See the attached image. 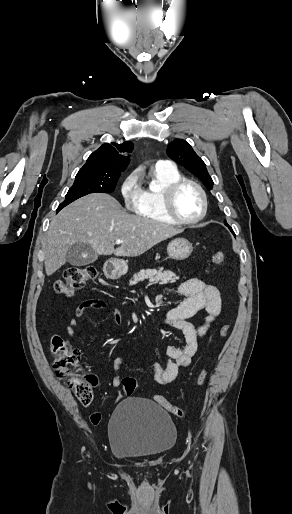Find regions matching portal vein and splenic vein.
<instances>
[{
	"label": "portal vein and splenic vein",
	"mask_w": 292,
	"mask_h": 514,
	"mask_svg": "<svg viewBox=\"0 0 292 514\" xmlns=\"http://www.w3.org/2000/svg\"><path fill=\"white\" fill-rule=\"evenodd\" d=\"M115 244H122V240H116Z\"/></svg>",
	"instance_id": "18ae733b"
}]
</instances>
